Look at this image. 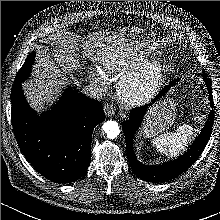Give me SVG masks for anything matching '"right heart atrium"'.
Instances as JSON below:
<instances>
[{
    "instance_id": "obj_1",
    "label": "right heart atrium",
    "mask_w": 220,
    "mask_h": 220,
    "mask_svg": "<svg viewBox=\"0 0 220 220\" xmlns=\"http://www.w3.org/2000/svg\"><path fill=\"white\" fill-rule=\"evenodd\" d=\"M90 75L96 82H100L102 79L100 73L98 72H90Z\"/></svg>"
}]
</instances>
